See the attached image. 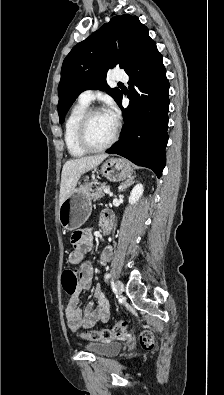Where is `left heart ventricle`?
<instances>
[{"label":"left heart ventricle","mask_w":224,"mask_h":395,"mask_svg":"<svg viewBox=\"0 0 224 395\" xmlns=\"http://www.w3.org/2000/svg\"><path fill=\"white\" fill-rule=\"evenodd\" d=\"M115 123L104 113L93 115L88 124V138L95 146L105 144L112 136Z\"/></svg>","instance_id":"left-heart-ventricle-1"}]
</instances>
